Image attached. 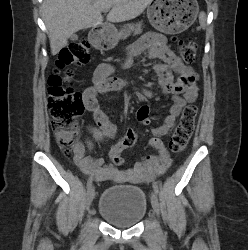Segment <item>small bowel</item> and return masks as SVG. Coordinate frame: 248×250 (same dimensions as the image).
Returning a JSON list of instances; mask_svg holds the SVG:
<instances>
[{
	"instance_id": "c3829d8e",
	"label": "small bowel",
	"mask_w": 248,
	"mask_h": 250,
	"mask_svg": "<svg viewBox=\"0 0 248 250\" xmlns=\"http://www.w3.org/2000/svg\"><path fill=\"white\" fill-rule=\"evenodd\" d=\"M131 54L146 55L148 58L160 61L153 66L163 92L172 96V105L163 122L152 127L150 146L156 150V155H147L135 163L129 170H119L113 165H105L100 158H92L87 155L86 150L93 147L94 142H105L116 136L117 129L109 120L107 114L100 108L97 100L98 95H105L111 91L124 88L127 83L119 78L113 77V67L108 63L97 66L93 84L87 87L82 94L86 109L93 114L95 124L88 125V136L75 145V164L85 174L92 176L98 182L113 181L116 183L130 182L141 184L157 178L167 171L172 160L165 143L162 140L175 126L182 109L186 104L196 100L198 90L196 86L197 75L193 69L185 64L167 46L166 37L159 33L150 32L143 35L131 47ZM127 61L126 65H130ZM173 73L179 75L177 80L173 79ZM145 97L151 98L153 93L149 89H142ZM137 118L143 125L153 122L151 106L142 105L137 112ZM126 137L134 144L137 135L130 132Z\"/></svg>"
}]
</instances>
